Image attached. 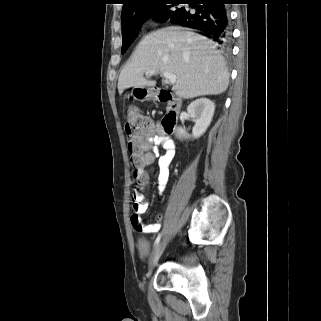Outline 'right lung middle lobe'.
Instances as JSON below:
<instances>
[{
    "label": "right lung middle lobe",
    "instance_id": "1",
    "mask_svg": "<svg viewBox=\"0 0 321 321\" xmlns=\"http://www.w3.org/2000/svg\"><path fill=\"white\" fill-rule=\"evenodd\" d=\"M181 1L183 0H162L143 8L136 13L121 17L123 38L122 54L132 44L136 38L139 27L145 20L153 18L157 21L167 22L172 14L180 9L173 7L179 5Z\"/></svg>",
    "mask_w": 321,
    "mask_h": 321
}]
</instances>
